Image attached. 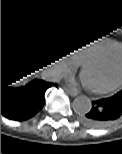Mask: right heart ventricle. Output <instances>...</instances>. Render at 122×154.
Listing matches in <instances>:
<instances>
[{"instance_id":"1","label":"right heart ventricle","mask_w":122,"mask_h":154,"mask_svg":"<svg viewBox=\"0 0 122 154\" xmlns=\"http://www.w3.org/2000/svg\"><path fill=\"white\" fill-rule=\"evenodd\" d=\"M113 43L105 40H92L83 43H79L71 47L70 52L77 61H82L85 58L96 54L111 47Z\"/></svg>"}]
</instances>
